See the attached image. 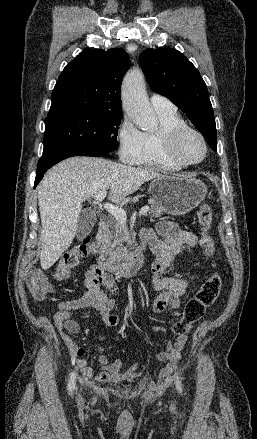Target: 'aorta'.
Instances as JSON below:
<instances>
[{
	"label": "aorta",
	"instance_id": "obj_1",
	"mask_svg": "<svg viewBox=\"0 0 257 439\" xmlns=\"http://www.w3.org/2000/svg\"><path fill=\"white\" fill-rule=\"evenodd\" d=\"M122 104L130 119L144 131H154L158 127L154 110L151 108L143 74L132 71L127 74L122 85Z\"/></svg>",
	"mask_w": 257,
	"mask_h": 439
}]
</instances>
